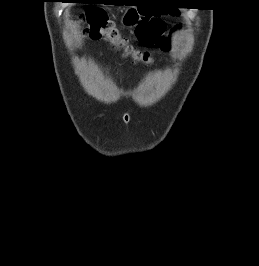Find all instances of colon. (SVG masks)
I'll list each match as a JSON object with an SVG mask.
<instances>
[{
  "mask_svg": "<svg viewBox=\"0 0 259 266\" xmlns=\"http://www.w3.org/2000/svg\"><path fill=\"white\" fill-rule=\"evenodd\" d=\"M84 34L92 40H105L124 56L131 58L136 63L149 65L152 57L148 52L135 49L123 37L115 23L109 19L101 9L89 10L81 20ZM164 24L156 17H146L137 28V36L141 42L148 46H155L167 50L170 40L164 35Z\"/></svg>",
  "mask_w": 259,
  "mask_h": 266,
  "instance_id": "obj_1",
  "label": "colon"
}]
</instances>
